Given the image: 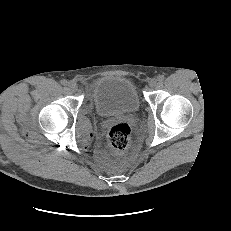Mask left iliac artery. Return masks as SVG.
<instances>
[{
	"instance_id": "1",
	"label": "left iliac artery",
	"mask_w": 231,
	"mask_h": 231,
	"mask_svg": "<svg viewBox=\"0 0 231 231\" xmlns=\"http://www.w3.org/2000/svg\"><path fill=\"white\" fill-rule=\"evenodd\" d=\"M164 75H159L158 77H157V80L159 81V82H162L163 80H164Z\"/></svg>"
}]
</instances>
